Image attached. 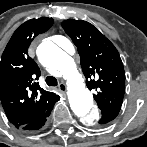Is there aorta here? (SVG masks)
I'll list each match as a JSON object with an SVG mask.
<instances>
[{
    "mask_svg": "<svg viewBox=\"0 0 147 147\" xmlns=\"http://www.w3.org/2000/svg\"><path fill=\"white\" fill-rule=\"evenodd\" d=\"M62 41L66 47L74 50L72 43L67 38H63ZM38 57L43 65L59 71L66 79L68 100L73 113L86 124L95 123L99 119V113L94 108L93 97L74 59L51 41L40 45Z\"/></svg>",
    "mask_w": 147,
    "mask_h": 147,
    "instance_id": "762f6f07",
    "label": "aorta"
}]
</instances>
